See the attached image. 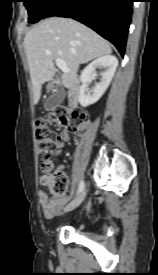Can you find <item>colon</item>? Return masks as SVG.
<instances>
[{"label":"colon","mask_w":158,"mask_h":275,"mask_svg":"<svg viewBox=\"0 0 158 275\" xmlns=\"http://www.w3.org/2000/svg\"><path fill=\"white\" fill-rule=\"evenodd\" d=\"M52 123L77 133L88 125L89 120L84 110H69L66 106H56L46 117L38 118L36 140L41 157H45L55 149L58 135L51 128ZM45 168L46 175L42 178V183L49 186L53 199H61L65 193L67 176L61 170L53 171V165L50 162Z\"/></svg>","instance_id":"colon-1"}]
</instances>
